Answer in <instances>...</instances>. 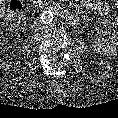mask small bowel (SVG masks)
<instances>
[{
  "label": "small bowel",
  "mask_w": 118,
  "mask_h": 118,
  "mask_svg": "<svg viewBox=\"0 0 118 118\" xmlns=\"http://www.w3.org/2000/svg\"><path fill=\"white\" fill-rule=\"evenodd\" d=\"M85 7L98 14H106L109 11V4L102 0H86ZM113 40L118 45V34L113 36Z\"/></svg>",
  "instance_id": "1"
}]
</instances>
